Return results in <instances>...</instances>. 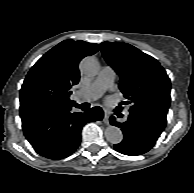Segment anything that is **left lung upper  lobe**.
Listing matches in <instances>:
<instances>
[{
    "mask_svg": "<svg viewBox=\"0 0 194 193\" xmlns=\"http://www.w3.org/2000/svg\"><path fill=\"white\" fill-rule=\"evenodd\" d=\"M102 54L120 76L119 88L131 104L129 111L166 115L171 83L164 68L150 55L121 42H103Z\"/></svg>",
    "mask_w": 194,
    "mask_h": 193,
    "instance_id": "left-lung-upper-lobe-1",
    "label": "left lung upper lobe"
}]
</instances>
